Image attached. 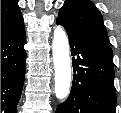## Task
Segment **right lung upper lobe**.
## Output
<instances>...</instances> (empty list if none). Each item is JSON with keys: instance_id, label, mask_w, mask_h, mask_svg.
I'll list each match as a JSON object with an SVG mask.
<instances>
[{"instance_id": "obj_1", "label": "right lung upper lobe", "mask_w": 121, "mask_h": 113, "mask_svg": "<svg viewBox=\"0 0 121 113\" xmlns=\"http://www.w3.org/2000/svg\"><path fill=\"white\" fill-rule=\"evenodd\" d=\"M23 26L18 0H1V38L8 36Z\"/></svg>"}]
</instances>
